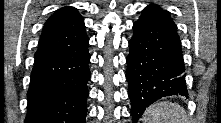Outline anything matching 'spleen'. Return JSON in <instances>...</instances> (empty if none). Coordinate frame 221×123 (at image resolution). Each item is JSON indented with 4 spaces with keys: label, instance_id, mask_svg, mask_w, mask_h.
I'll use <instances>...</instances> for the list:
<instances>
[{
    "label": "spleen",
    "instance_id": "obj_1",
    "mask_svg": "<svg viewBox=\"0 0 221 123\" xmlns=\"http://www.w3.org/2000/svg\"><path fill=\"white\" fill-rule=\"evenodd\" d=\"M143 123H186V113L177 103L157 102L143 115Z\"/></svg>",
    "mask_w": 221,
    "mask_h": 123
}]
</instances>
